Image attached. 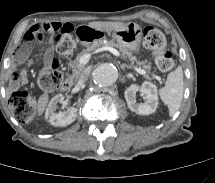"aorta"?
<instances>
[{"mask_svg": "<svg viewBox=\"0 0 215 183\" xmlns=\"http://www.w3.org/2000/svg\"><path fill=\"white\" fill-rule=\"evenodd\" d=\"M117 77L118 70L111 63L98 65L92 73L94 83L99 86H110L117 80Z\"/></svg>", "mask_w": 215, "mask_h": 183, "instance_id": "aorta-1", "label": "aorta"}]
</instances>
